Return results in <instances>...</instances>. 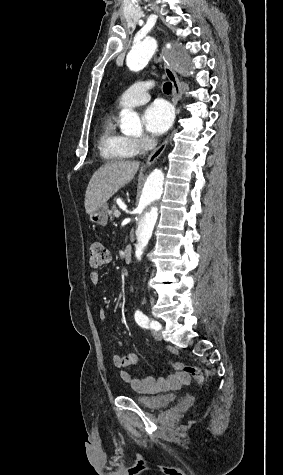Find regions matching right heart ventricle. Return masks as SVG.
I'll return each mask as SVG.
<instances>
[{"label":"right heart ventricle","mask_w":283,"mask_h":475,"mask_svg":"<svg viewBox=\"0 0 283 475\" xmlns=\"http://www.w3.org/2000/svg\"><path fill=\"white\" fill-rule=\"evenodd\" d=\"M129 139L117 125L114 113L105 116L99 128L98 144L103 157L108 161H122L130 157Z\"/></svg>","instance_id":"obj_1"}]
</instances>
